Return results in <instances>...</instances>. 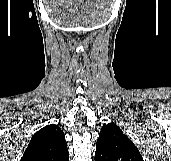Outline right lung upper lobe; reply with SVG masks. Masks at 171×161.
Returning a JSON list of instances; mask_svg holds the SVG:
<instances>
[{
    "mask_svg": "<svg viewBox=\"0 0 171 161\" xmlns=\"http://www.w3.org/2000/svg\"><path fill=\"white\" fill-rule=\"evenodd\" d=\"M69 152L60 127L47 125L31 138L21 161H68Z\"/></svg>",
    "mask_w": 171,
    "mask_h": 161,
    "instance_id": "obj_1",
    "label": "right lung upper lobe"
}]
</instances>
